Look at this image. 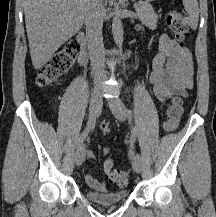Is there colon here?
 <instances>
[{"label": "colon", "mask_w": 216, "mask_h": 217, "mask_svg": "<svg viewBox=\"0 0 216 217\" xmlns=\"http://www.w3.org/2000/svg\"><path fill=\"white\" fill-rule=\"evenodd\" d=\"M167 24L176 40L183 45L188 33V26L183 15L172 10L167 15ZM80 50L78 42H69L59 53L55 54L38 72L36 83L39 87H46L59 78L65 76L72 68L77 53ZM183 114V101L180 97H174L167 112L164 130L172 132L179 124ZM100 132L103 135L110 133V123L105 121L100 126ZM106 169L112 182L118 186L127 184V175L125 171L115 168L112 160L107 161Z\"/></svg>", "instance_id": "obj_1"}]
</instances>
